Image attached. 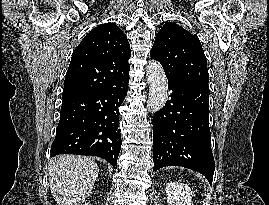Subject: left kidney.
Wrapping results in <instances>:
<instances>
[{
    "mask_svg": "<svg viewBox=\"0 0 269 205\" xmlns=\"http://www.w3.org/2000/svg\"><path fill=\"white\" fill-rule=\"evenodd\" d=\"M166 195L169 205H193V193L187 184L169 182L166 186Z\"/></svg>",
    "mask_w": 269,
    "mask_h": 205,
    "instance_id": "obj_1",
    "label": "left kidney"
}]
</instances>
